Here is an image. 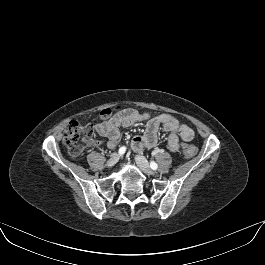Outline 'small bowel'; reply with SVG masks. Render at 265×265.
<instances>
[{
	"label": "small bowel",
	"mask_w": 265,
	"mask_h": 265,
	"mask_svg": "<svg viewBox=\"0 0 265 265\" xmlns=\"http://www.w3.org/2000/svg\"><path fill=\"white\" fill-rule=\"evenodd\" d=\"M138 122H145L146 130L131 141V147L136 152L144 148L156 147L160 128L169 134L168 148L172 152L179 150L180 139L184 142H190L194 139L193 129L180 123L173 116L168 114L151 116L149 113H141L133 108L122 109L108 120L97 124L96 131L105 138L109 148H114L119 141L121 129L131 127Z\"/></svg>",
	"instance_id": "c3829d8e"
}]
</instances>
